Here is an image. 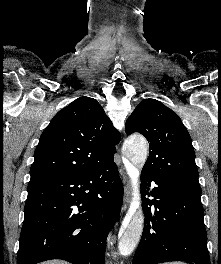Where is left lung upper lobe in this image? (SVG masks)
Wrapping results in <instances>:
<instances>
[{
  "instance_id": "obj_1",
  "label": "left lung upper lobe",
  "mask_w": 221,
  "mask_h": 264,
  "mask_svg": "<svg viewBox=\"0 0 221 264\" xmlns=\"http://www.w3.org/2000/svg\"><path fill=\"white\" fill-rule=\"evenodd\" d=\"M125 131L139 132L149 142L142 171L200 189L192 141L175 112L156 99H145L128 118Z\"/></svg>"
}]
</instances>
